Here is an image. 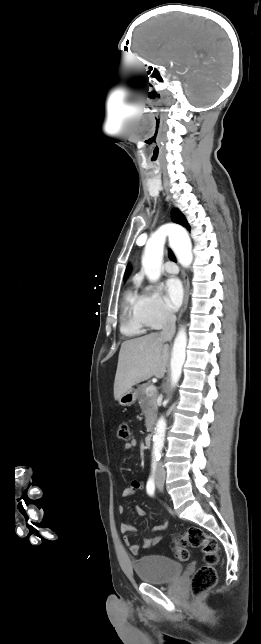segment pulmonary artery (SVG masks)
<instances>
[{
    "instance_id": "pulmonary-artery-1",
    "label": "pulmonary artery",
    "mask_w": 261,
    "mask_h": 644,
    "mask_svg": "<svg viewBox=\"0 0 261 644\" xmlns=\"http://www.w3.org/2000/svg\"><path fill=\"white\" fill-rule=\"evenodd\" d=\"M164 269L169 274L178 273V266L175 263L171 262V261H168V262L165 263Z\"/></svg>"
}]
</instances>
